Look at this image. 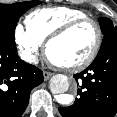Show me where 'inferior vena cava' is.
I'll list each match as a JSON object with an SVG mask.
<instances>
[{
    "mask_svg": "<svg viewBox=\"0 0 117 117\" xmlns=\"http://www.w3.org/2000/svg\"><path fill=\"white\" fill-rule=\"evenodd\" d=\"M31 62L38 63L37 59H31Z\"/></svg>",
    "mask_w": 117,
    "mask_h": 117,
    "instance_id": "inferior-vena-cava-1",
    "label": "inferior vena cava"
}]
</instances>
